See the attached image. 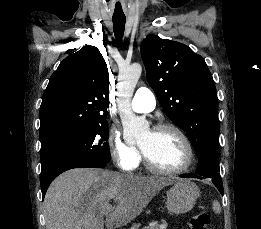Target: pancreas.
Segmentation results:
<instances>
[{
    "label": "pancreas",
    "mask_w": 261,
    "mask_h": 229,
    "mask_svg": "<svg viewBox=\"0 0 261 229\" xmlns=\"http://www.w3.org/2000/svg\"><path fill=\"white\" fill-rule=\"evenodd\" d=\"M163 227H166V223H163V225H155L152 229H163Z\"/></svg>",
    "instance_id": "cf45deb5"
}]
</instances>
